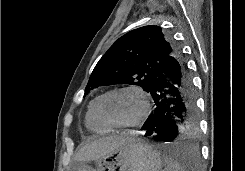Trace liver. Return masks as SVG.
Returning <instances> with one entry per match:
<instances>
[{"label": "liver", "instance_id": "liver-1", "mask_svg": "<svg viewBox=\"0 0 245 171\" xmlns=\"http://www.w3.org/2000/svg\"><path fill=\"white\" fill-rule=\"evenodd\" d=\"M134 139L131 133H122L120 135H111L96 139L85 144L76 154L75 160L80 162L97 160Z\"/></svg>", "mask_w": 245, "mask_h": 171}]
</instances>
